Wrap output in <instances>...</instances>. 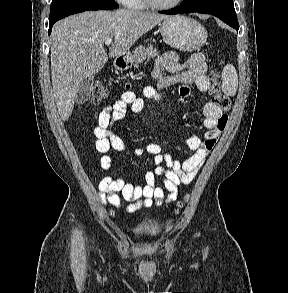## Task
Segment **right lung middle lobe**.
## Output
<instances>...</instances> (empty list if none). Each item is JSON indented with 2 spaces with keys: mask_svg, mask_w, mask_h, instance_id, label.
I'll return each mask as SVG.
<instances>
[{
  "mask_svg": "<svg viewBox=\"0 0 288 293\" xmlns=\"http://www.w3.org/2000/svg\"><path fill=\"white\" fill-rule=\"evenodd\" d=\"M86 7L109 10L118 8L119 5L114 0H52L49 20Z\"/></svg>",
  "mask_w": 288,
  "mask_h": 293,
  "instance_id": "1",
  "label": "right lung middle lobe"
}]
</instances>
